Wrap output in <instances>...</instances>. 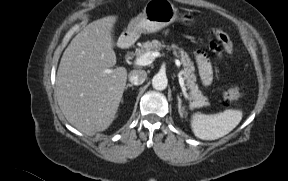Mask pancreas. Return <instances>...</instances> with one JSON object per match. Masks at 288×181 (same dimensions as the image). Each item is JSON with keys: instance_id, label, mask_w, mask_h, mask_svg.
Masks as SVG:
<instances>
[{"instance_id": "1", "label": "pancreas", "mask_w": 288, "mask_h": 181, "mask_svg": "<svg viewBox=\"0 0 288 181\" xmlns=\"http://www.w3.org/2000/svg\"><path fill=\"white\" fill-rule=\"evenodd\" d=\"M162 48H167L168 50H173V54L179 57L181 63L184 67V80L186 81V86L190 90L188 99L191 101L190 106L192 108H200L203 106H209L207 97H205L199 90L196 82V77L194 74L195 68L193 62L191 61L187 52L179 48L177 45H165L164 42L158 40L147 41L142 44V47L136 50L137 56H141L147 52H157Z\"/></svg>"}]
</instances>
